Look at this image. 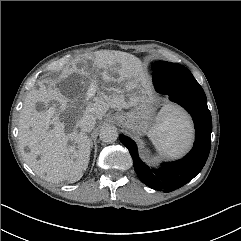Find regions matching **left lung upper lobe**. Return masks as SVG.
<instances>
[{
	"mask_svg": "<svg viewBox=\"0 0 241 241\" xmlns=\"http://www.w3.org/2000/svg\"><path fill=\"white\" fill-rule=\"evenodd\" d=\"M152 69L166 79L167 86L172 90L197 82L191 72L180 64L158 61L152 65Z\"/></svg>",
	"mask_w": 241,
	"mask_h": 241,
	"instance_id": "5c2ea615",
	"label": "left lung upper lobe"
}]
</instances>
